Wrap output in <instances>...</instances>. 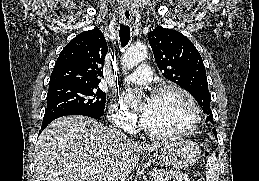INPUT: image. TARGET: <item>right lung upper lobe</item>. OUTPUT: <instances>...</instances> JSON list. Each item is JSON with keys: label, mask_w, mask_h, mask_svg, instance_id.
<instances>
[{"label": "right lung upper lobe", "mask_w": 259, "mask_h": 181, "mask_svg": "<svg viewBox=\"0 0 259 181\" xmlns=\"http://www.w3.org/2000/svg\"><path fill=\"white\" fill-rule=\"evenodd\" d=\"M107 51L105 37L98 28L80 33L61 51L49 86L68 83L98 86Z\"/></svg>", "instance_id": "1"}]
</instances>
